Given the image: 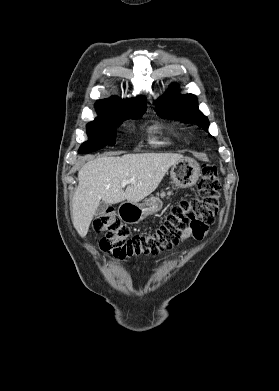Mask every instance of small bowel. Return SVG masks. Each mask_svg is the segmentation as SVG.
I'll use <instances>...</instances> for the list:
<instances>
[{"mask_svg":"<svg viewBox=\"0 0 279 391\" xmlns=\"http://www.w3.org/2000/svg\"><path fill=\"white\" fill-rule=\"evenodd\" d=\"M190 236H192V231H191L190 228H186V229L184 230V232L182 233V235H181V239H182V240H186V239H188Z\"/></svg>","mask_w":279,"mask_h":391,"instance_id":"obj_1","label":"small bowel"}]
</instances>
